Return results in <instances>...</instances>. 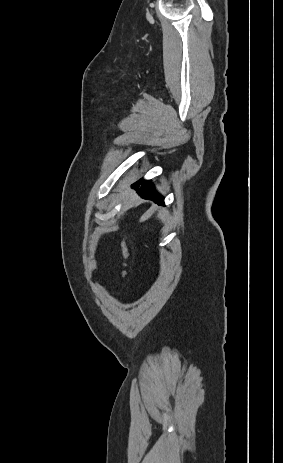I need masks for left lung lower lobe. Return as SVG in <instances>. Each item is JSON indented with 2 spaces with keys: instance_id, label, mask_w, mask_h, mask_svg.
Segmentation results:
<instances>
[{
  "instance_id": "1",
  "label": "left lung lower lobe",
  "mask_w": 283,
  "mask_h": 463,
  "mask_svg": "<svg viewBox=\"0 0 283 463\" xmlns=\"http://www.w3.org/2000/svg\"><path fill=\"white\" fill-rule=\"evenodd\" d=\"M142 180L138 181L136 184L133 186H139ZM139 194L144 197V198H149L155 200L156 203L158 204H164L163 202V197L160 196L158 193L155 192L152 184L150 181H142V186L138 190Z\"/></svg>"
}]
</instances>
